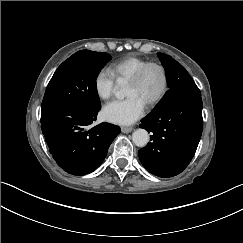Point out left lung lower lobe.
Segmentation results:
<instances>
[{"label": "left lung lower lobe", "mask_w": 243, "mask_h": 243, "mask_svg": "<svg viewBox=\"0 0 243 243\" xmlns=\"http://www.w3.org/2000/svg\"><path fill=\"white\" fill-rule=\"evenodd\" d=\"M152 133L138 152L144 168L159 177L181 173L192 160L203 129L201 95H180L141 120Z\"/></svg>", "instance_id": "left-lung-lower-lobe-1"}]
</instances>
